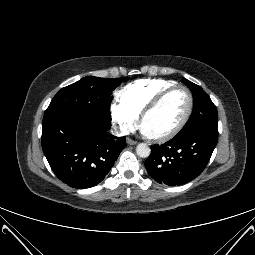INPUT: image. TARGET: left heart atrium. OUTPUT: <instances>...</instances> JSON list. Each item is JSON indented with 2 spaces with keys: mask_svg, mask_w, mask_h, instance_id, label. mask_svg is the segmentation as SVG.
<instances>
[{
  "mask_svg": "<svg viewBox=\"0 0 255 255\" xmlns=\"http://www.w3.org/2000/svg\"><path fill=\"white\" fill-rule=\"evenodd\" d=\"M142 133L146 136H151L150 132L144 125H142Z\"/></svg>",
  "mask_w": 255,
  "mask_h": 255,
  "instance_id": "1",
  "label": "left heart atrium"
}]
</instances>
